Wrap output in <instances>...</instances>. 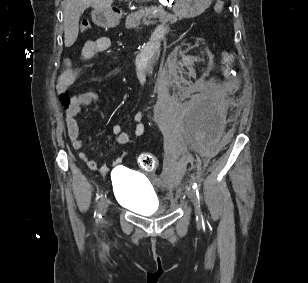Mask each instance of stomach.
<instances>
[{
	"mask_svg": "<svg viewBox=\"0 0 308 283\" xmlns=\"http://www.w3.org/2000/svg\"><path fill=\"white\" fill-rule=\"evenodd\" d=\"M212 3V0H175L174 13L181 18H193L201 15ZM95 21L101 26L114 27L118 19L112 15L98 11Z\"/></svg>",
	"mask_w": 308,
	"mask_h": 283,
	"instance_id": "stomach-1",
	"label": "stomach"
}]
</instances>
